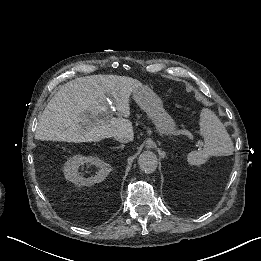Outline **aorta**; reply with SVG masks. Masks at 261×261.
Here are the masks:
<instances>
[{
	"mask_svg": "<svg viewBox=\"0 0 261 261\" xmlns=\"http://www.w3.org/2000/svg\"><path fill=\"white\" fill-rule=\"evenodd\" d=\"M138 165L146 174L153 173L158 165V160L156 155L151 151L143 152L138 158Z\"/></svg>",
	"mask_w": 261,
	"mask_h": 261,
	"instance_id": "762f6f07",
	"label": "aorta"
}]
</instances>
